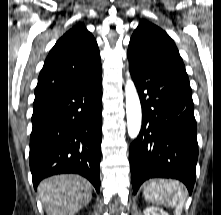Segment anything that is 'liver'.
I'll return each mask as SVG.
<instances>
[{
  "label": "liver",
  "mask_w": 221,
  "mask_h": 215,
  "mask_svg": "<svg viewBox=\"0 0 221 215\" xmlns=\"http://www.w3.org/2000/svg\"><path fill=\"white\" fill-rule=\"evenodd\" d=\"M47 215H74L92 198V186L79 175L62 174L43 180L38 186Z\"/></svg>",
  "instance_id": "liver-1"
}]
</instances>
